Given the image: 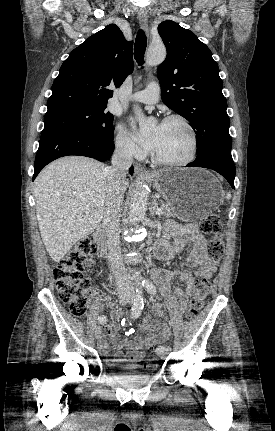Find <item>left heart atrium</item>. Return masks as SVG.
<instances>
[{
  "instance_id": "left-heart-atrium-1",
  "label": "left heart atrium",
  "mask_w": 275,
  "mask_h": 431,
  "mask_svg": "<svg viewBox=\"0 0 275 431\" xmlns=\"http://www.w3.org/2000/svg\"><path fill=\"white\" fill-rule=\"evenodd\" d=\"M137 138L146 147L154 149L158 143V132H154L151 135H144L137 131Z\"/></svg>"
}]
</instances>
